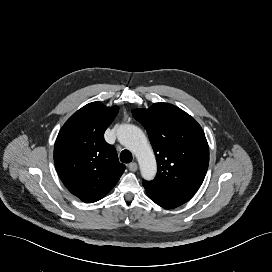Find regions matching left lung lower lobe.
I'll use <instances>...</instances> for the list:
<instances>
[{"mask_svg":"<svg viewBox=\"0 0 272 272\" xmlns=\"http://www.w3.org/2000/svg\"><path fill=\"white\" fill-rule=\"evenodd\" d=\"M143 186L153 202L167 209L186 203L194 195L179 188L157 185L148 181H144Z\"/></svg>","mask_w":272,"mask_h":272,"instance_id":"obj_1","label":"left lung lower lobe"}]
</instances>
